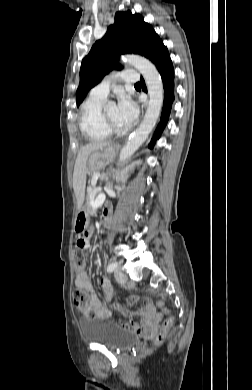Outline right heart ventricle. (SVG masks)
<instances>
[{"mask_svg": "<svg viewBox=\"0 0 252 390\" xmlns=\"http://www.w3.org/2000/svg\"><path fill=\"white\" fill-rule=\"evenodd\" d=\"M104 101L105 99L89 95L81 105L79 126L82 133L90 141H105L111 136L101 119Z\"/></svg>", "mask_w": 252, "mask_h": 390, "instance_id": "e07e8e85", "label": "right heart ventricle"}]
</instances>
